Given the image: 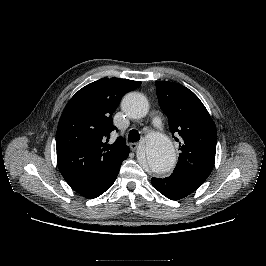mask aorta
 Listing matches in <instances>:
<instances>
[{"label": "aorta", "mask_w": 266, "mask_h": 266, "mask_svg": "<svg viewBox=\"0 0 266 266\" xmlns=\"http://www.w3.org/2000/svg\"><path fill=\"white\" fill-rule=\"evenodd\" d=\"M122 110L131 118L144 117L149 110L146 97L141 93H129L122 100ZM139 162L155 174L170 172L176 164V154L171 140L164 134L152 133L139 154Z\"/></svg>", "instance_id": "aorta-1"}]
</instances>
